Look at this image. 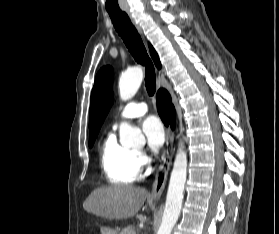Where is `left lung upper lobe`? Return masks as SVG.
<instances>
[{
	"mask_svg": "<svg viewBox=\"0 0 279 234\" xmlns=\"http://www.w3.org/2000/svg\"><path fill=\"white\" fill-rule=\"evenodd\" d=\"M112 82L113 69L106 66L98 72L91 93V103L89 112V145L92 146L100 130L101 125L112 105Z\"/></svg>",
	"mask_w": 279,
	"mask_h": 234,
	"instance_id": "1",
	"label": "left lung upper lobe"
}]
</instances>
